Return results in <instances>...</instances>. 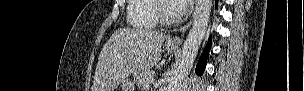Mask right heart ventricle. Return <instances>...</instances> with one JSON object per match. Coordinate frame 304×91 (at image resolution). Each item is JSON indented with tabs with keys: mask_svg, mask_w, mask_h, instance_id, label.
<instances>
[{
	"mask_svg": "<svg viewBox=\"0 0 304 91\" xmlns=\"http://www.w3.org/2000/svg\"><path fill=\"white\" fill-rule=\"evenodd\" d=\"M156 0H129L127 8L128 23L135 28L152 29L158 24L155 15Z\"/></svg>",
	"mask_w": 304,
	"mask_h": 91,
	"instance_id": "e07e8e85",
	"label": "right heart ventricle"
}]
</instances>
